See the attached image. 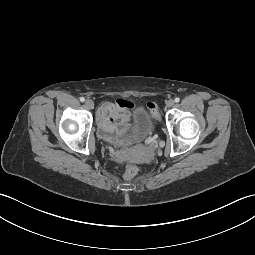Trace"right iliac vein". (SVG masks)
Segmentation results:
<instances>
[{"label": "right iliac vein", "mask_w": 255, "mask_h": 255, "mask_svg": "<svg viewBox=\"0 0 255 255\" xmlns=\"http://www.w3.org/2000/svg\"><path fill=\"white\" fill-rule=\"evenodd\" d=\"M85 106L89 109H92L94 107V102L91 99H87L85 101Z\"/></svg>", "instance_id": "right-iliac-vein-1"}]
</instances>
